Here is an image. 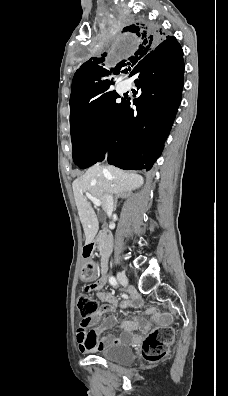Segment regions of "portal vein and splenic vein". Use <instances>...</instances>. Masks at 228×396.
Masks as SVG:
<instances>
[{"instance_id": "1", "label": "portal vein and splenic vein", "mask_w": 228, "mask_h": 396, "mask_svg": "<svg viewBox=\"0 0 228 396\" xmlns=\"http://www.w3.org/2000/svg\"><path fill=\"white\" fill-rule=\"evenodd\" d=\"M86 196H87V198H88L89 200H91V201L93 202V204H94L96 207L101 206V201L98 200L97 198L93 197L90 193L86 192Z\"/></svg>"}]
</instances>
